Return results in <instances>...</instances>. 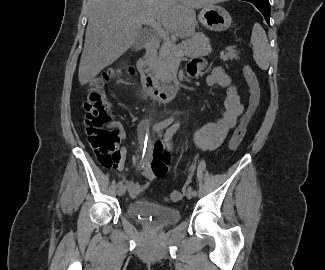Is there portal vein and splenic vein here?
Here are the masks:
<instances>
[{"label": "portal vein and splenic vein", "instance_id": "18ae733b", "mask_svg": "<svg viewBox=\"0 0 325 270\" xmlns=\"http://www.w3.org/2000/svg\"><path fill=\"white\" fill-rule=\"evenodd\" d=\"M136 23H142L151 26L153 29H155L158 32V35L165 41V42H171L170 38L168 37L167 31H165L161 23L154 20L153 18L150 17H139L135 19Z\"/></svg>", "mask_w": 325, "mask_h": 270}]
</instances>
